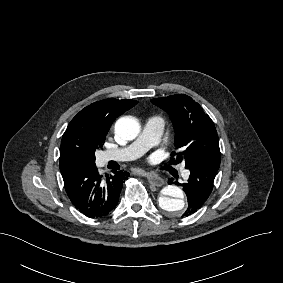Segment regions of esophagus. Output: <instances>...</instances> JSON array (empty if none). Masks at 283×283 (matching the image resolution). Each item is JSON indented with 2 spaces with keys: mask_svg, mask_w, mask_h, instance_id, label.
Instances as JSON below:
<instances>
[{
  "mask_svg": "<svg viewBox=\"0 0 283 283\" xmlns=\"http://www.w3.org/2000/svg\"><path fill=\"white\" fill-rule=\"evenodd\" d=\"M139 174L146 176L147 179L149 180V182L152 185H155V186L164 185V180L162 178L158 177L156 174H151V173H147V172H143V171H140Z\"/></svg>",
  "mask_w": 283,
  "mask_h": 283,
  "instance_id": "1",
  "label": "esophagus"
}]
</instances>
